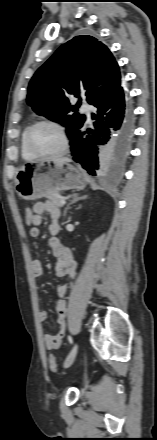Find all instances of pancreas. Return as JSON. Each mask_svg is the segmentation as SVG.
I'll return each mask as SVG.
<instances>
[{
	"mask_svg": "<svg viewBox=\"0 0 157 440\" xmlns=\"http://www.w3.org/2000/svg\"><path fill=\"white\" fill-rule=\"evenodd\" d=\"M47 198L54 206L59 208L62 207V204L60 203L62 196L60 194L56 193V194L48 195Z\"/></svg>",
	"mask_w": 157,
	"mask_h": 440,
	"instance_id": "cf45deb5",
	"label": "pancreas"
}]
</instances>
